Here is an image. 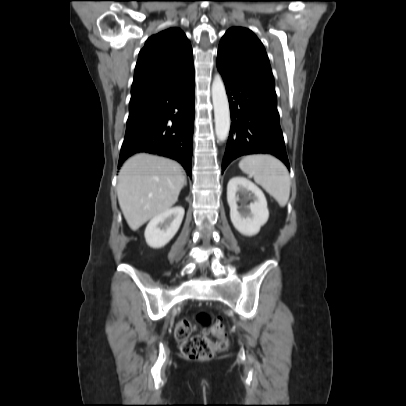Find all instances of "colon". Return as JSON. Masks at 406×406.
<instances>
[{
    "instance_id": "colon-1",
    "label": "colon",
    "mask_w": 406,
    "mask_h": 406,
    "mask_svg": "<svg viewBox=\"0 0 406 406\" xmlns=\"http://www.w3.org/2000/svg\"><path fill=\"white\" fill-rule=\"evenodd\" d=\"M197 326L206 331L215 332L219 336V340L214 342L207 335L201 333L192 335ZM175 337L181 342L183 356L189 360L210 359L217 352L224 351L228 347V340L222 333V327L206 313L180 320L175 327Z\"/></svg>"
}]
</instances>
